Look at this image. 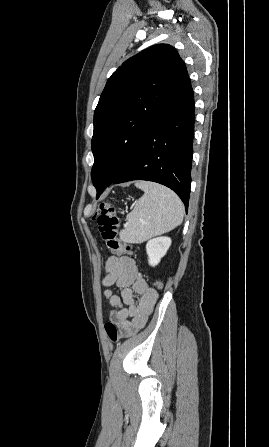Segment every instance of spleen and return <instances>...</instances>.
<instances>
[{
    "label": "spleen",
    "instance_id": "1",
    "mask_svg": "<svg viewBox=\"0 0 269 447\" xmlns=\"http://www.w3.org/2000/svg\"><path fill=\"white\" fill-rule=\"evenodd\" d=\"M135 186L145 194L126 218L128 225L119 233L122 241L142 243L182 224L184 206L175 192L160 184L142 180H138Z\"/></svg>",
    "mask_w": 269,
    "mask_h": 447
}]
</instances>
